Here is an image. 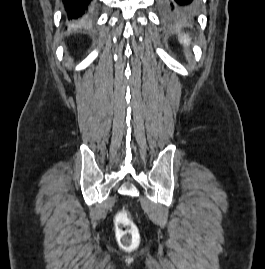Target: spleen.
<instances>
[{
	"label": "spleen",
	"mask_w": 265,
	"mask_h": 269,
	"mask_svg": "<svg viewBox=\"0 0 265 269\" xmlns=\"http://www.w3.org/2000/svg\"><path fill=\"white\" fill-rule=\"evenodd\" d=\"M179 42L184 46V47H189L190 46V38L186 34H182L179 36Z\"/></svg>",
	"instance_id": "1"
}]
</instances>
